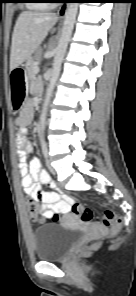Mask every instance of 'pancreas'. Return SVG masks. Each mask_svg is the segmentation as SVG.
<instances>
[{
  "label": "pancreas",
  "mask_w": 136,
  "mask_h": 296,
  "mask_svg": "<svg viewBox=\"0 0 136 296\" xmlns=\"http://www.w3.org/2000/svg\"><path fill=\"white\" fill-rule=\"evenodd\" d=\"M42 51L37 50L34 57H31L26 62V73L29 77H33L35 75L34 73V67L37 66L36 61L41 58Z\"/></svg>",
  "instance_id": "1"
}]
</instances>
